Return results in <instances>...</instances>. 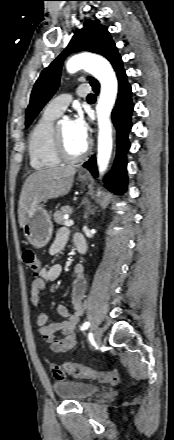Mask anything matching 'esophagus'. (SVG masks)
I'll use <instances>...</instances> for the list:
<instances>
[{"instance_id":"1","label":"esophagus","mask_w":174,"mask_h":440,"mask_svg":"<svg viewBox=\"0 0 174 440\" xmlns=\"http://www.w3.org/2000/svg\"><path fill=\"white\" fill-rule=\"evenodd\" d=\"M79 173L80 174H84V175L88 174V172L85 169H80Z\"/></svg>"}]
</instances>
